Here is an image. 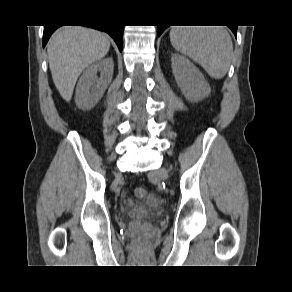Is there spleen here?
Wrapping results in <instances>:
<instances>
[{
    "label": "spleen",
    "instance_id": "1",
    "mask_svg": "<svg viewBox=\"0 0 292 292\" xmlns=\"http://www.w3.org/2000/svg\"><path fill=\"white\" fill-rule=\"evenodd\" d=\"M170 41L176 51L201 65L211 78L222 79L229 70L233 43L222 27L174 26Z\"/></svg>",
    "mask_w": 292,
    "mask_h": 292
}]
</instances>
